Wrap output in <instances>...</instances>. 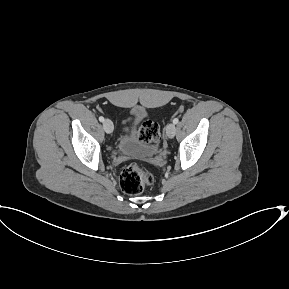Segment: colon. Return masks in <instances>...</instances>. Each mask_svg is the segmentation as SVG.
<instances>
[{
  "mask_svg": "<svg viewBox=\"0 0 289 289\" xmlns=\"http://www.w3.org/2000/svg\"><path fill=\"white\" fill-rule=\"evenodd\" d=\"M139 138L145 143H159L161 133L158 124L152 120L142 123ZM153 176L136 164L126 166L120 176V186L124 193L137 195L153 184Z\"/></svg>",
  "mask_w": 289,
  "mask_h": 289,
  "instance_id": "obj_1",
  "label": "colon"
}]
</instances>
